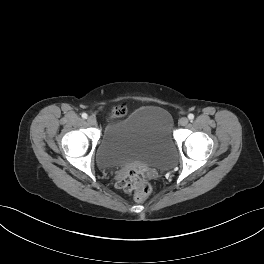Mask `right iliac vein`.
<instances>
[{
  "mask_svg": "<svg viewBox=\"0 0 264 264\" xmlns=\"http://www.w3.org/2000/svg\"><path fill=\"white\" fill-rule=\"evenodd\" d=\"M87 122H88L90 125H92V126H95V125L97 124V120H96V118L93 117V116H89V117L87 118Z\"/></svg>",
  "mask_w": 264,
  "mask_h": 264,
  "instance_id": "1",
  "label": "right iliac vein"
}]
</instances>
